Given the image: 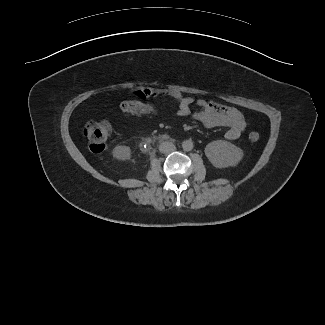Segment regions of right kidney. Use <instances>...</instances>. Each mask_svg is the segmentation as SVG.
Returning <instances> with one entry per match:
<instances>
[{
    "instance_id": "ca27d5eb",
    "label": "right kidney",
    "mask_w": 325,
    "mask_h": 325,
    "mask_svg": "<svg viewBox=\"0 0 325 325\" xmlns=\"http://www.w3.org/2000/svg\"><path fill=\"white\" fill-rule=\"evenodd\" d=\"M112 154L116 159L127 160L131 156V150L128 146H116Z\"/></svg>"
}]
</instances>
